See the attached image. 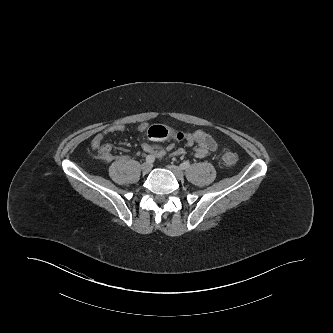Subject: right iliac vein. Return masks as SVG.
Wrapping results in <instances>:
<instances>
[{
    "label": "right iliac vein",
    "mask_w": 333,
    "mask_h": 333,
    "mask_svg": "<svg viewBox=\"0 0 333 333\" xmlns=\"http://www.w3.org/2000/svg\"><path fill=\"white\" fill-rule=\"evenodd\" d=\"M151 169H152V164L148 163V162L143 163L142 166H141V171L144 174L149 173L151 171Z\"/></svg>",
    "instance_id": "obj_1"
}]
</instances>
